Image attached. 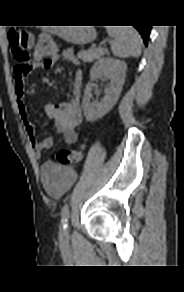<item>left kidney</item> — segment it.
Masks as SVG:
<instances>
[{"mask_svg":"<svg viewBox=\"0 0 184 292\" xmlns=\"http://www.w3.org/2000/svg\"><path fill=\"white\" fill-rule=\"evenodd\" d=\"M127 65L125 62L113 58H101L94 63L90 70V80L86 86L83 96V110L86 120L94 122L108 113L117 102L122 91L126 76ZM105 76L110 80V85L104 90V97L100 102L92 103L93 81Z\"/></svg>","mask_w":184,"mask_h":292,"instance_id":"5707ae66","label":"left kidney"}]
</instances>
